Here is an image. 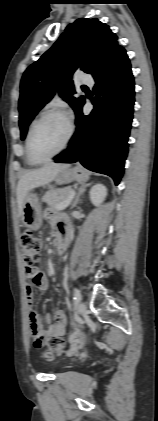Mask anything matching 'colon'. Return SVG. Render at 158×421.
<instances>
[{
  "label": "colon",
  "instance_id": "colon-1",
  "mask_svg": "<svg viewBox=\"0 0 158 421\" xmlns=\"http://www.w3.org/2000/svg\"><path fill=\"white\" fill-rule=\"evenodd\" d=\"M23 261L27 268H34L39 260L41 243L31 232L25 231L20 236ZM39 345V341L36 342ZM66 342L61 336H51L46 341L44 357L52 360L65 348Z\"/></svg>",
  "mask_w": 158,
  "mask_h": 421
}]
</instances>
